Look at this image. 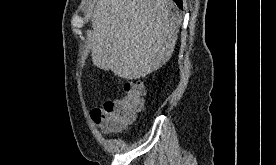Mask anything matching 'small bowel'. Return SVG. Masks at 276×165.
I'll use <instances>...</instances> for the list:
<instances>
[{"instance_id": "small-bowel-1", "label": "small bowel", "mask_w": 276, "mask_h": 165, "mask_svg": "<svg viewBox=\"0 0 276 165\" xmlns=\"http://www.w3.org/2000/svg\"><path fill=\"white\" fill-rule=\"evenodd\" d=\"M102 112V107H99V108H95L92 110L91 112V116L93 118V120L102 128V129H105L107 130L109 128V122L103 118L101 119H97L95 117V114H98V113H101Z\"/></svg>"}]
</instances>
